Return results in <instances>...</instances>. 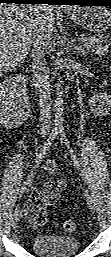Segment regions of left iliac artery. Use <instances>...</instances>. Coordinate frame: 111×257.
Wrapping results in <instances>:
<instances>
[{
	"label": "left iliac artery",
	"instance_id": "left-iliac-artery-1",
	"mask_svg": "<svg viewBox=\"0 0 111 257\" xmlns=\"http://www.w3.org/2000/svg\"><path fill=\"white\" fill-rule=\"evenodd\" d=\"M59 133H60V136H61V140H63L64 144L69 149V152L71 154L72 160L74 161V165L78 169V171H79L80 175L82 176L83 180L86 181L85 178H84V174H83V171L81 169L80 163H79L78 159L76 158V156L74 155L73 150L70 147V143H69V141H68V139L66 137V133H65L64 129L61 128L59 130Z\"/></svg>",
	"mask_w": 111,
	"mask_h": 257
}]
</instances>
